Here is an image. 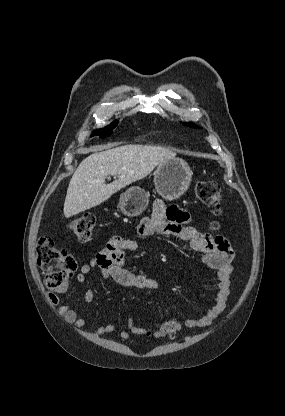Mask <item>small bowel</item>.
<instances>
[{
	"label": "small bowel",
	"instance_id": "obj_1",
	"mask_svg": "<svg viewBox=\"0 0 285 416\" xmlns=\"http://www.w3.org/2000/svg\"><path fill=\"white\" fill-rule=\"evenodd\" d=\"M189 222L190 215L187 211L176 206H168L162 200H156L151 216L141 221L138 233L142 237L160 234L188 241L193 251L203 254V263L218 271V292L213 304L201 317H190L185 321V325L189 328H203L212 325L226 307L230 295L234 251L224 236L203 233L189 225ZM140 249L141 245L136 240L123 239L119 236L111 237L93 259L81 266L76 278L77 282L79 284L85 283L87 275L93 269H99L104 279H111L123 287L134 288L147 294L151 293L158 287L157 280L147 275L135 274L125 264V251L137 252ZM94 297L93 289H87L82 299L84 302L90 303ZM48 300L53 305L61 304L59 297L54 293L48 294ZM57 311L65 322L74 325L76 329L82 330L85 327V319L78 316L71 305H60ZM114 330L113 324H103L95 329L94 334L103 336ZM132 334L149 335L157 334V331L138 327L129 320L127 328L120 331V337L127 340Z\"/></svg>",
	"mask_w": 285,
	"mask_h": 416
}]
</instances>
